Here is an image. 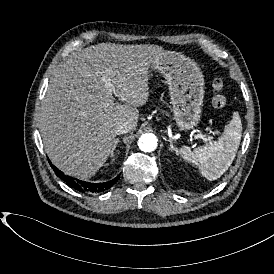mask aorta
<instances>
[{
  "label": "aorta",
  "mask_w": 274,
  "mask_h": 274,
  "mask_svg": "<svg viewBox=\"0 0 274 274\" xmlns=\"http://www.w3.org/2000/svg\"><path fill=\"white\" fill-rule=\"evenodd\" d=\"M138 146L144 152H152L157 148V138L152 133H145L139 138Z\"/></svg>",
  "instance_id": "762f6f07"
}]
</instances>
